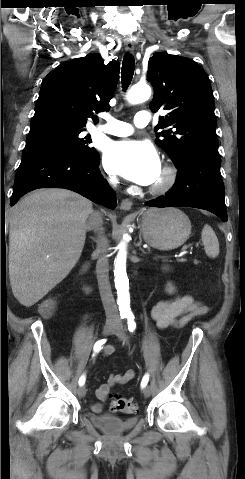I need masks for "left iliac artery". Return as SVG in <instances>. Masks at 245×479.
Listing matches in <instances>:
<instances>
[{"label":"left iliac artery","instance_id":"1","mask_svg":"<svg viewBox=\"0 0 245 479\" xmlns=\"http://www.w3.org/2000/svg\"><path fill=\"white\" fill-rule=\"evenodd\" d=\"M126 318H127V320H128V322H127V324H128V330H129L131 333H133L134 330H135V328H136V323H135V321H134V318H135V317H134L133 314H129V315L126 316ZM148 381H149V375H148V374H145L144 377H143V379H142V381H141V387L144 388V387L147 385Z\"/></svg>","mask_w":245,"mask_h":479}]
</instances>
